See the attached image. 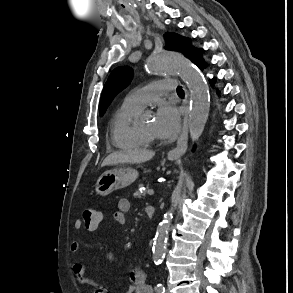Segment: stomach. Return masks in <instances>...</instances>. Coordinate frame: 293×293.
I'll use <instances>...</instances> for the list:
<instances>
[{"label": "stomach", "instance_id": "obj_1", "mask_svg": "<svg viewBox=\"0 0 293 293\" xmlns=\"http://www.w3.org/2000/svg\"><path fill=\"white\" fill-rule=\"evenodd\" d=\"M173 160L174 158H170ZM138 177V172L132 168H118L104 172L95 184L98 195L107 196L112 192L131 185Z\"/></svg>", "mask_w": 293, "mask_h": 293}]
</instances>
